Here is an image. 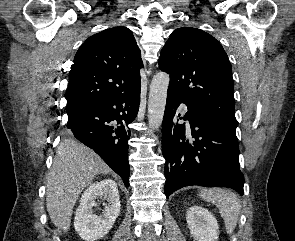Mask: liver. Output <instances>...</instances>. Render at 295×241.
Wrapping results in <instances>:
<instances>
[{"label":"liver","instance_id":"6515ba94","mask_svg":"<svg viewBox=\"0 0 295 241\" xmlns=\"http://www.w3.org/2000/svg\"><path fill=\"white\" fill-rule=\"evenodd\" d=\"M109 171L107 164L88 147L71 139L62 141L46 183V207L53 224L66 233L82 190L96 175Z\"/></svg>","mask_w":295,"mask_h":241}]
</instances>
